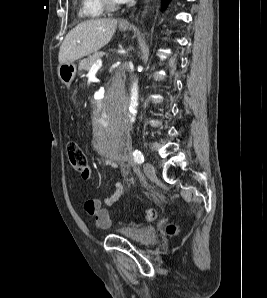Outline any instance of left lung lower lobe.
Wrapping results in <instances>:
<instances>
[{
  "mask_svg": "<svg viewBox=\"0 0 267 298\" xmlns=\"http://www.w3.org/2000/svg\"><path fill=\"white\" fill-rule=\"evenodd\" d=\"M169 0H163V4L166 5V3L168 2Z\"/></svg>",
  "mask_w": 267,
  "mask_h": 298,
  "instance_id": "0a47b994",
  "label": "left lung lower lobe"
}]
</instances>
